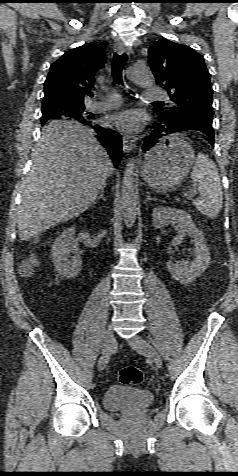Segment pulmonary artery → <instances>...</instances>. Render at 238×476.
Masks as SVG:
<instances>
[{
	"mask_svg": "<svg viewBox=\"0 0 238 476\" xmlns=\"http://www.w3.org/2000/svg\"><path fill=\"white\" fill-rule=\"evenodd\" d=\"M144 99L147 101H159L167 99L163 90L158 87H150L147 89ZM121 103V98L117 93H110L106 98L101 99L93 104L95 109L108 110L117 107Z\"/></svg>",
	"mask_w": 238,
	"mask_h": 476,
	"instance_id": "pulmonary-artery-1",
	"label": "pulmonary artery"
}]
</instances>
